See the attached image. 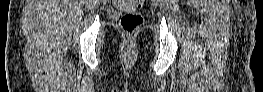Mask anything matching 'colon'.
Instances as JSON below:
<instances>
[{"mask_svg":"<svg viewBox=\"0 0 263 92\" xmlns=\"http://www.w3.org/2000/svg\"><path fill=\"white\" fill-rule=\"evenodd\" d=\"M137 2L143 3L144 0H138ZM142 22L141 14L134 11L124 13L120 20L121 28L128 35H132L141 26Z\"/></svg>","mask_w":263,"mask_h":92,"instance_id":"1","label":"colon"}]
</instances>
